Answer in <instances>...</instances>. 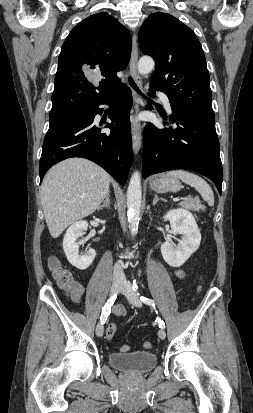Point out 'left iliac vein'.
<instances>
[{"mask_svg":"<svg viewBox=\"0 0 253 413\" xmlns=\"http://www.w3.org/2000/svg\"><path fill=\"white\" fill-rule=\"evenodd\" d=\"M121 292L126 296L127 300L134 306L136 307H141L142 303L139 299V297L133 292L132 290V286L129 283V281H127L126 279H124L122 281V285H121ZM158 336L160 339H165L166 338V333L164 331V329L160 328L158 330Z\"/></svg>","mask_w":253,"mask_h":413,"instance_id":"left-iliac-vein-1","label":"left iliac vein"}]
</instances>
